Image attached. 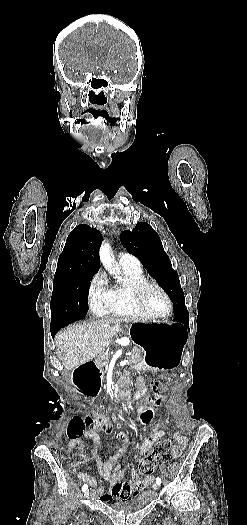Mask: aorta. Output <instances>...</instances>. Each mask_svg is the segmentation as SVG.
I'll list each match as a JSON object with an SVG mask.
<instances>
[{"instance_id":"obj_1","label":"aorta","mask_w":247,"mask_h":525,"mask_svg":"<svg viewBox=\"0 0 247 525\" xmlns=\"http://www.w3.org/2000/svg\"><path fill=\"white\" fill-rule=\"evenodd\" d=\"M100 261L105 267V269L111 274L115 275V277L121 282L123 281L122 277H120L115 269L114 266V258L111 253V248L108 243L102 244L99 252Z\"/></svg>"}]
</instances>
